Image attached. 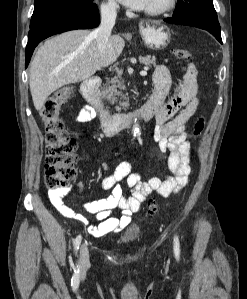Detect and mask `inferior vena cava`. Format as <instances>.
<instances>
[{
	"mask_svg": "<svg viewBox=\"0 0 247 299\" xmlns=\"http://www.w3.org/2000/svg\"><path fill=\"white\" fill-rule=\"evenodd\" d=\"M116 16L115 4L101 6L100 25L93 31V35L96 38L98 52L102 59L106 56L107 45L115 25Z\"/></svg>",
	"mask_w": 247,
	"mask_h": 299,
	"instance_id": "1",
	"label": "inferior vena cava"
}]
</instances>
